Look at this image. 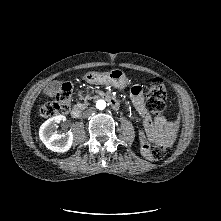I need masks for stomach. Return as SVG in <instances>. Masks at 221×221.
Instances as JSON below:
<instances>
[{
  "label": "stomach",
  "instance_id": "stomach-1",
  "mask_svg": "<svg viewBox=\"0 0 221 221\" xmlns=\"http://www.w3.org/2000/svg\"><path fill=\"white\" fill-rule=\"evenodd\" d=\"M84 80L89 84L111 85L118 89L125 88L128 78L121 69H112L108 72H88L84 75Z\"/></svg>",
  "mask_w": 221,
  "mask_h": 221
}]
</instances>
